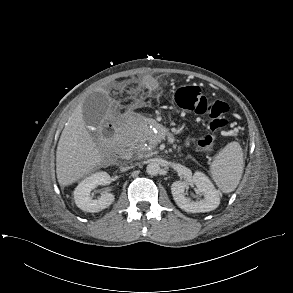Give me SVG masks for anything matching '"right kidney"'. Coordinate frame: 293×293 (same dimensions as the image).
<instances>
[{
    "label": "right kidney",
    "mask_w": 293,
    "mask_h": 293,
    "mask_svg": "<svg viewBox=\"0 0 293 293\" xmlns=\"http://www.w3.org/2000/svg\"><path fill=\"white\" fill-rule=\"evenodd\" d=\"M110 175L107 172H97L81 181L74 190V200L78 208L86 212H99L114 202L112 193H104L98 199L91 198V191L98 185H107Z\"/></svg>",
    "instance_id": "ca27d5eb"
}]
</instances>
